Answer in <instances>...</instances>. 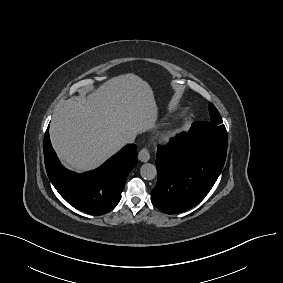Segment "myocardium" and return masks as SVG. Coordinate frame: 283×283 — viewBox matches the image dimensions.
<instances>
[{
	"instance_id": "myocardium-1",
	"label": "myocardium",
	"mask_w": 283,
	"mask_h": 283,
	"mask_svg": "<svg viewBox=\"0 0 283 283\" xmlns=\"http://www.w3.org/2000/svg\"><path fill=\"white\" fill-rule=\"evenodd\" d=\"M174 136V134L172 132H166L164 135H163V139L164 140H169L170 138H172Z\"/></svg>"
}]
</instances>
